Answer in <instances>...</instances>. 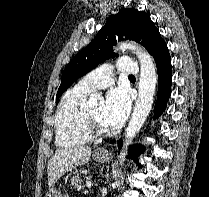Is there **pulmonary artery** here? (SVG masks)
<instances>
[{"label": "pulmonary artery", "instance_id": "obj_1", "mask_svg": "<svg viewBox=\"0 0 209 197\" xmlns=\"http://www.w3.org/2000/svg\"><path fill=\"white\" fill-rule=\"evenodd\" d=\"M113 69V65L104 64L84 76L78 84L90 91L108 87L113 83ZM117 69L123 74L138 73L137 64L131 57L121 58L117 63Z\"/></svg>", "mask_w": 209, "mask_h": 197}]
</instances>
